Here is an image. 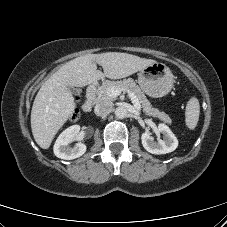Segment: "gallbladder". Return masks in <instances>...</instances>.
Listing matches in <instances>:
<instances>
[{"mask_svg":"<svg viewBox=\"0 0 227 227\" xmlns=\"http://www.w3.org/2000/svg\"><path fill=\"white\" fill-rule=\"evenodd\" d=\"M69 89L74 93V94H78L79 90L74 88V87H69Z\"/></svg>","mask_w":227,"mask_h":227,"instance_id":"gallbladder-1","label":"gallbladder"}]
</instances>
